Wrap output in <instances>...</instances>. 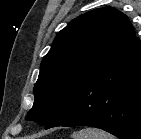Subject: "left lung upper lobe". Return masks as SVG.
Masks as SVG:
<instances>
[{"label": "left lung upper lobe", "instance_id": "1", "mask_svg": "<svg viewBox=\"0 0 141 139\" xmlns=\"http://www.w3.org/2000/svg\"><path fill=\"white\" fill-rule=\"evenodd\" d=\"M135 38L126 15L104 7L72 20L44 57L27 120L47 125L83 81Z\"/></svg>", "mask_w": 141, "mask_h": 139}]
</instances>
